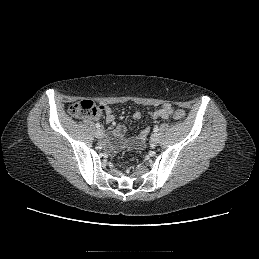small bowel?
Returning <instances> with one entry per match:
<instances>
[{
	"label": "small bowel",
	"mask_w": 259,
	"mask_h": 259,
	"mask_svg": "<svg viewBox=\"0 0 259 259\" xmlns=\"http://www.w3.org/2000/svg\"><path fill=\"white\" fill-rule=\"evenodd\" d=\"M172 106L169 103H163L159 109L152 111L150 116L154 119L161 118L168 120L172 116ZM101 114H105V119L107 123H112L115 119L113 110L110 106H100L99 113L92 117L93 119L98 118ZM133 119L139 120L142 117L141 112L136 111L132 115ZM125 128L123 126H118L115 131L111 134V142L104 140V145L108 147L111 151H116L124 146H131L140 148L144 145L148 134L149 127H144L141 132L136 136L129 139H124Z\"/></svg>",
	"instance_id": "small-bowel-1"
}]
</instances>
